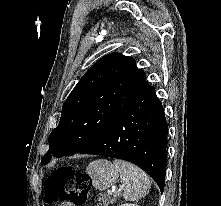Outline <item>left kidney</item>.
Listing matches in <instances>:
<instances>
[{"label": "left kidney", "instance_id": "5707ae66", "mask_svg": "<svg viewBox=\"0 0 221 206\" xmlns=\"http://www.w3.org/2000/svg\"><path fill=\"white\" fill-rule=\"evenodd\" d=\"M119 206H139L137 204H130V203H125V204H122V205H119Z\"/></svg>", "mask_w": 221, "mask_h": 206}]
</instances>
